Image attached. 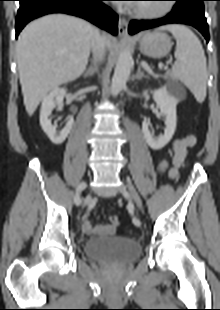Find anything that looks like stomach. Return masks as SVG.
I'll list each match as a JSON object with an SVG mask.
<instances>
[{
  "mask_svg": "<svg viewBox=\"0 0 220 310\" xmlns=\"http://www.w3.org/2000/svg\"><path fill=\"white\" fill-rule=\"evenodd\" d=\"M140 51L152 58L166 56L171 48L172 41L169 35L163 32L146 33L139 41Z\"/></svg>",
  "mask_w": 220,
  "mask_h": 310,
  "instance_id": "obj_1",
  "label": "stomach"
}]
</instances>
